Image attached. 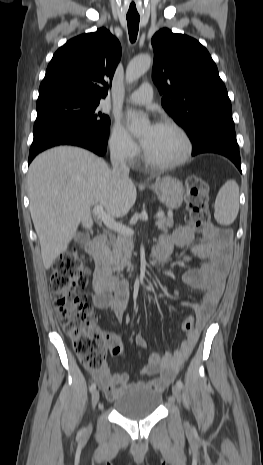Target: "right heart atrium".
Instances as JSON below:
<instances>
[{
    "label": "right heart atrium",
    "mask_w": 263,
    "mask_h": 465,
    "mask_svg": "<svg viewBox=\"0 0 263 465\" xmlns=\"http://www.w3.org/2000/svg\"><path fill=\"white\" fill-rule=\"evenodd\" d=\"M108 148L114 157L128 162L136 160L140 153L138 144L118 122L110 129Z\"/></svg>",
    "instance_id": "right-heart-atrium-1"
}]
</instances>
